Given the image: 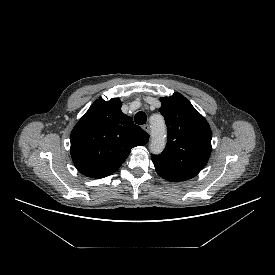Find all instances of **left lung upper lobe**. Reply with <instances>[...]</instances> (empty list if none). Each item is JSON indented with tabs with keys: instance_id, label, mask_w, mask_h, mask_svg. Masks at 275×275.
Instances as JSON below:
<instances>
[{
	"instance_id": "obj_1",
	"label": "left lung upper lobe",
	"mask_w": 275,
	"mask_h": 275,
	"mask_svg": "<svg viewBox=\"0 0 275 275\" xmlns=\"http://www.w3.org/2000/svg\"><path fill=\"white\" fill-rule=\"evenodd\" d=\"M160 112L165 118L168 141L152 161L160 176L177 181L195 177L211 154L212 133L206 119L181 94L161 98Z\"/></svg>"
}]
</instances>
